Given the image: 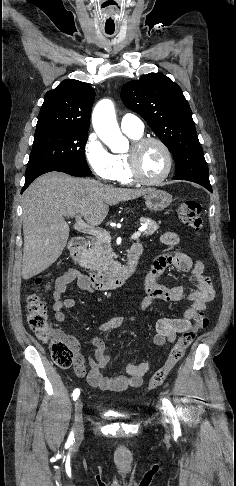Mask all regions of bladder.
Returning a JSON list of instances; mask_svg holds the SVG:
<instances>
[{
    "label": "bladder",
    "mask_w": 236,
    "mask_h": 486,
    "mask_svg": "<svg viewBox=\"0 0 236 486\" xmlns=\"http://www.w3.org/2000/svg\"><path fill=\"white\" fill-rule=\"evenodd\" d=\"M114 414H115V415H117V416H118V415H120V414H119V413H117V412H115Z\"/></svg>",
    "instance_id": "obj_1"
}]
</instances>
